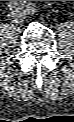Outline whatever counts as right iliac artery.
<instances>
[{
	"mask_svg": "<svg viewBox=\"0 0 74 122\" xmlns=\"http://www.w3.org/2000/svg\"><path fill=\"white\" fill-rule=\"evenodd\" d=\"M28 5L26 3V1H11L9 4H8V7L10 10H24L26 11L27 8H28Z\"/></svg>",
	"mask_w": 74,
	"mask_h": 122,
	"instance_id": "obj_1",
	"label": "right iliac artery"
}]
</instances>
